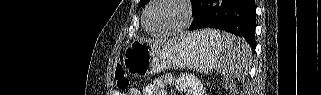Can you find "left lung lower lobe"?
<instances>
[{
  "label": "left lung lower lobe",
  "mask_w": 321,
  "mask_h": 95,
  "mask_svg": "<svg viewBox=\"0 0 321 95\" xmlns=\"http://www.w3.org/2000/svg\"><path fill=\"white\" fill-rule=\"evenodd\" d=\"M190 30L217 28L244 38L255 47V0H194Z\"/></svg>",
  "instance_id": "1"
}]
</instances>
